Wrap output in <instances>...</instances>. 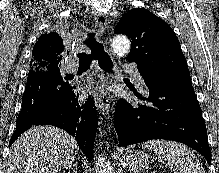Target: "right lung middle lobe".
Wrapping results in <instances>:
<instances>
[{"mask_svg":"<svg viewBox=\"0 0 219 173\" xmlns=\"http://www.w3.org/2000/svg\"><path fill=\"white\" fill-rule=\"evenodd\" d=\"M34 71H52L55 72L57 74H60V69H59V64H47L44 65L42 67H35V68H31L30 72H34Z\"/></svg>","mask_w":219,"mask_h":173,"instance_id":"dd1d6c3e","label":"right lung middle lobe"}]
</instances>
